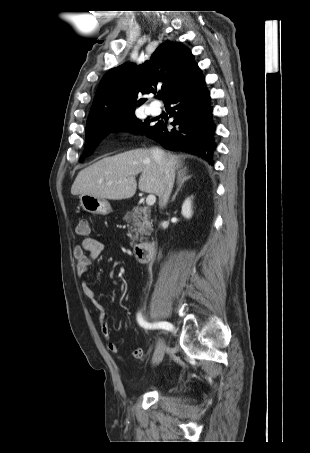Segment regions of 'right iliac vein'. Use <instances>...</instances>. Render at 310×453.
<instances>
[{
	"mask_svg": "<svg viewBox=\"0 0 310 453\" xmlns=\"http://www.w3.org/2000/svg\"><path fill=\"white\" fill-rule=\"evenodd\" d=\"M166 346L162 340H158L157 342V348L155 351V354L152 359L153 365H158L164 357Z\"/></svg>",
	"mask_w": 310,
	"mask_h": 453,
	"instance_id": "right-iliac-vein-1",
	"label": "right iliac vein"
}]
</instances>
